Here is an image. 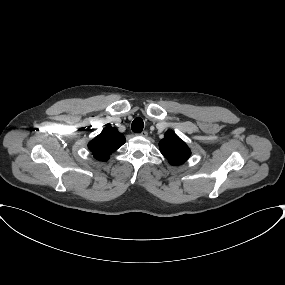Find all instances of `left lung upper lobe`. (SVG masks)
<instances>
[{
    "mask_svg": "<svg viewBox=\"0 0 285 285\" xmlns=\"http://www.w3.org/2000/svg\"><path fill=\"white\" fill-rule=\"evenodd\" d=\"M160 151L171 165H181L190 156L191 152L184 141L175 133L168 131L159 142Z\"/></svg>",
    "mask_w": 285,
    "mask_h": 285,
    "instance_id": "5c2ea615",
    "label": "left lung upper lobe"
}]
</instances>
